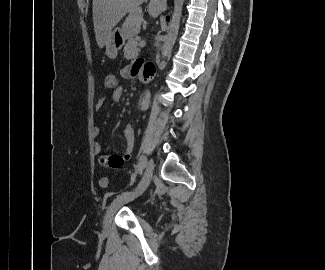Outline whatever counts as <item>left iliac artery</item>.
Segmentation results:
<instances>
[{
    "label": "left iliac artery",
    "instance_id": "obj_1",
    "mask_svg": "<svg viewBox=\"0 0 325 270\" xmlns=\"http://www.w3.org/2000/svg\"><path fill=\"white\" fill-rule=\"evenodd\" d=\"M144 161H145V157L142 155L140 158H139V162H138V171L140 174H142V170H143V167H144ZM131 191H126V192H123L122 195L124 194H129Z\"/></svg>",
    "mask_w": 325,
    "mask_h": 270
}]
</instances>
